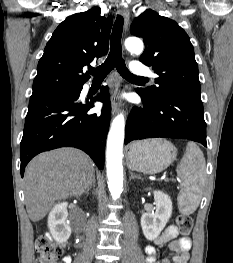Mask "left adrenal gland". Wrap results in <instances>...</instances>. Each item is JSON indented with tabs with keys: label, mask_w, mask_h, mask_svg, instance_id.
I'll return each instance as SVG.
<instances>
[{
	"label": "left adrenal gland",
	"mask_w": 233,
	"mask_h": 263,
	"mask_svg": "<svg viewBox=\"0 0 233 263\" xmlns=\"http://www.w3.org/2000/svg\"><path fill=\"white\" fill-rule=\"evenodd\" d=\"M130 178H129V180H132V179H135V178H137V179H142V177L140 176V175H136V174H134L133 172H131L130 171Z\"/></svg>",
	"instance_id": "a2214340"
}]
</instances>
